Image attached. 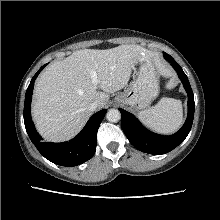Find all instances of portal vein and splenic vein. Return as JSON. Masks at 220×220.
I'll return each instance as SVG.
<instances>
[{
  "instance_id": "obj_1",
  "label": "portal vein and splenic vein",
  "mask_w": 220,
  "mask_h": 220,
  "mask_svg": "<svg viewBox=\"0 0 220 220\" xmlns=\"http://www.w3.org/2000/svg\"><path fill=\"white\" fill-rule=\"evenodd\" d=\"M90 75H91V78H92V82H93V83H97L98 80H97V73H96V71L92 70V71L90 72Z\"/></svg>"
}]
</instances>
